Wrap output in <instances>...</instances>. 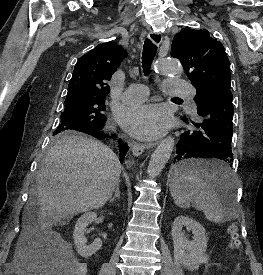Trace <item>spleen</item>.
<instances>
[{
	"label": "spleen",
	"mask_w": 263,
	"mask_h": 275,
	"mask_svg": "<svg viewBox=\"0 0 263 275\" xmlns=\"http://www.w3.org/2000/svg\"><path fill=\"white\" fill-rule=\"evenodd\" d=\"M188 172L180 176L174 174L170 185L171 196L175 204L181 208H189L191 201L202 211L207 220L213 223H224L233 216L234 177L228 166L216 161H192L184 164ZM219 169L224 172L220 183L225 190L224 202L221 201L215 190L203 178L195 174L198 169ZM224 203V204H223Z\"/></svg>",
	"instance_id": "spleen-1"
}]
</instances>
